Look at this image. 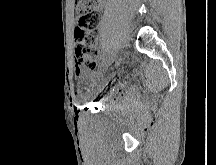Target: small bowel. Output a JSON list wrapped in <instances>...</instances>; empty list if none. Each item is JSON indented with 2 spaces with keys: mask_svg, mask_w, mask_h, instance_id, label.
<instances>
[{
  "mask_svg": "<svg viewBox=\"0 0 216 165\" xmlns=\"http://www.w3.org/2000/svg\"><path fill=\"white\" fill-rule=\"evenodd\" d=\"M75 71H76L77 76H81L82 75L83 77H86V75L81 72V69L79 67H76ZM78 93H79V91L77 89L74 90V96L75 97L77 96Z\"/></svg>",
  "mask_w": 216,
  "mask_h": 165,
  "instance_id": "1",
  "label": "small bowel"
}]
</instances>
